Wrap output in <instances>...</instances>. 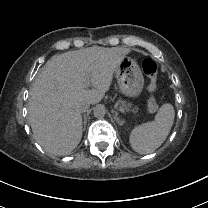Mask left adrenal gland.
<instances>
[{
	"label": "left adrenal gland",
	"instance_id": "left-adrenal-gland-1",
	"mask_svg": "<svg viewBox=\"0 0 208 208\" xmlns=\"http://www.w3.org/2000/svg\"><path fill=\"white\" fill-rule=\"evenodd\" d=\"M111 112L115 114V115H114V120H115L118 124L122 125L124 121H120V119L118 118V112L115 111V110H112Z\"/></svg>",
	"mask_w": 208,
	"mask_h": 208
}]
</instances>
